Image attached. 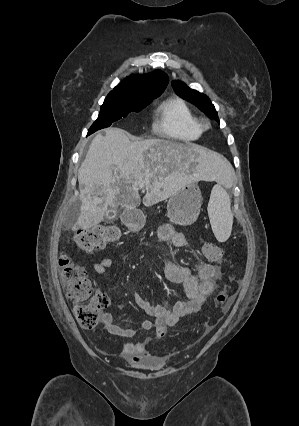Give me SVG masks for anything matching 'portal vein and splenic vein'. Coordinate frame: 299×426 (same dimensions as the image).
I'll list each match as a JSON object with an SVG mask.
<instances>
[{"instance_id": "obj_1", "label": "portal vein and splenic vein", "mask_w": 299, "mask_h": 426, "mask_svg": "<svg viewBox=\"0 0 299 426\" xmlns=\"http://www.w3.org/2000/svg\"><path fill=\"white\" fill-rule=\"evenodd\" d=\"M140 188H144V184H140Z\"/></svg>"}]
</instances>
